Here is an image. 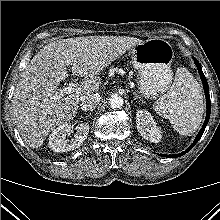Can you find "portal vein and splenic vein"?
<instances>
[{"label": "portal vein and splenic vein", "instance_id": "portal-vein-and-splenic-vein-1", "mask_svg": "<svg viewBox=\"0 0 220 220\" xmlns=\"http://www.w3.org/2000/svg\"><path fill=\"white\" fill-rule=\"evenodd\" d=\"M79 85L75 82H70L67 87L64 89L60 90L58 92V95L56 96V99L62 98L64 95L74 93L75 91L79 90Z\"/></svg>", "mask_w": 220, "mask_h": 220}]
</instances>
